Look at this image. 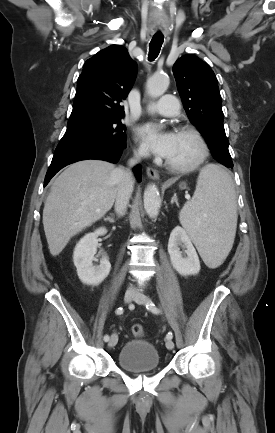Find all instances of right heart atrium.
<instances>
[{
	"instance_id": "obj_1",
	"label": "right heart atrium",
	"mask_w": 275,
	"mask_h": 433,
	"mask_svg": "<svg viewBox=\"0 0 275 433\" xmlns=\"http://www.w3.org/2000/svg\"><path fill=\"white\" fill-rule=\"evenodd\" d=\"M136 153L140 156H144L146 154V150L143 146H139L136 149Z\"/></svg>"
}]
</instances>
